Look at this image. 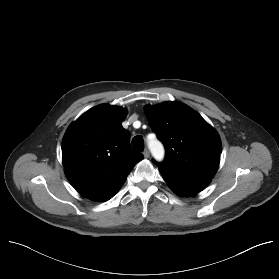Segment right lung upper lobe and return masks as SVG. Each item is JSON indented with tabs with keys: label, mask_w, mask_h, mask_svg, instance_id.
<instances>
[{
	"label": "right lung upper lobe",
	"mask_w": 279,
	"mask_h": 279,
	"mask_svg": "<svg viewBox=\"0 0 279 279\" xmlns=\"http://www.w3.org/2000/svg\"><path fill=\"white\" fill-rule=\"evenodd\" d=\"M127 111L102 104L72 123L62 140L65 174L72 186L94 201L114 196L144 156L130 146L122 127Z\"/></svg>",
	"instance_id": "obj_1"
}]
</instances>
